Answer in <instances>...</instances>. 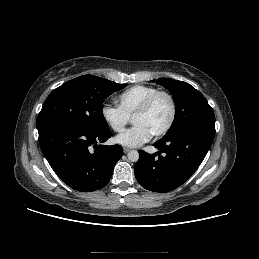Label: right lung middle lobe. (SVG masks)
<instances>
[{
  "mask_svg": "<svg viewBox=\"0 0 259 259\" xmlns=\"http://www.w3.org/2000/svg\"><path fill=\"white\" fill-rule=\"evenodd\" d=\"M126 86L94 75H83L62 84L45 100L37 117L38 132L57 124L95 131L109 129L102 113L103 102Z\"/></svg>",
  "mask_w": 259,
  "mask_h": 259,
  "instance_id": "obj_1",
  "label": "right lung middle lobe"
}]
</instances>
